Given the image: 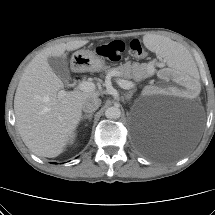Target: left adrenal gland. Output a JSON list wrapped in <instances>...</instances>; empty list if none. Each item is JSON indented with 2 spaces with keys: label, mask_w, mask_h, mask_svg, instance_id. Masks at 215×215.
<instances>
[{
  "label": "left adrenal gland",
  "mask_w": 215,
  "mask_h": 215,
  "mask_svg": "<svg viewBox=\"0 0 215 215\" xmlns=\"http://www.w3.org/2000/svg\"><path fill=\"white\" fill-rule=\"evenodd\" d=\"M134 92H135V90L129 91L125 96L126 100H130L132 98Z\"/></svg>",
  "instance_id": "1"
}]
</instances>
